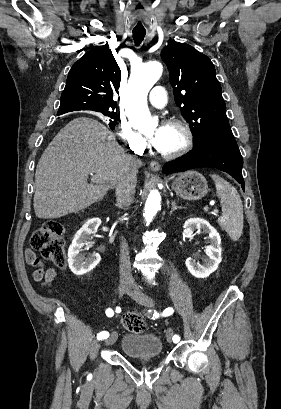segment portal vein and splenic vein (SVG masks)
I'll return each mask as SVG.
<instances>
[{
	"label": "portal vein and splenic vein",
	"instance_id": "1",
	"mask_svg": "<svg viewBox=\"0 0 281 409\" xmlns=\"http://www.w3.org/2000/svg\"><path fill=\"white\" fill-rule=\"evenodd\" d=\"M98 183L100 185H105L107 183V178L105 176H100L98 178ZM107 185L110 187L112 184L109 182ZM213 213H218V210H213Z\"/></svg>",
	"mask_w": 281,
	"mask_h": 409
}]
</instances>
